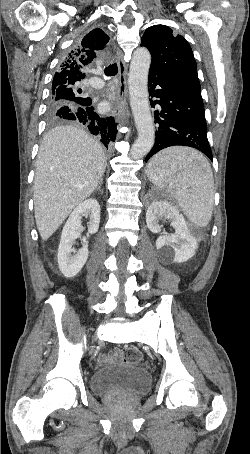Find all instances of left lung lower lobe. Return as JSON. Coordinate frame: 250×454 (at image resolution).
<instances>
[{
  "label": "left lung lower lobe",
  "instance_id": "0a47b994",
  "mask_svg": "<svg viewBox=\"0 0 250 454\" xmlns=\"http://www.w3.org/2000/svg\"><path fill=\"white\" fill-rule=\"evenodd\" d=\"M149 95L152 107L159 106L155 144L146 161L158 151L175 145L194 147L212 160L207 140V124L200 84L166 79L149 73Z\"/></svg>",
  "mask_w": 250,
  "mask_h": 454
}]
</instances>
